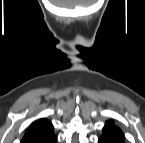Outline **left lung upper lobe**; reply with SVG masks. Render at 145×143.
I'll return each mask as SVG.
<instances>
[{"instance_id": "left-lung-upper-lobe-1", "label": "left lung upper lobe", "mask_w": 145, "mask_h": 143, "mask_svg": "<svg viewBox=\"0 0 145 143\" xmlns=\"http://www.w3.org/2000/svg\"><path fill=\"white\" fill-rule=\"evenodd\" d=\"M102 136L112 138L118 143H124V134L117 126L114 125L112 120L106 122Z\"/></svg>"}]
</instances>
